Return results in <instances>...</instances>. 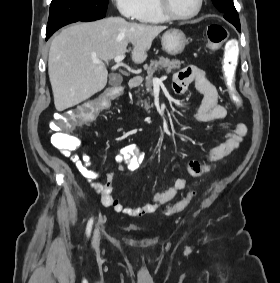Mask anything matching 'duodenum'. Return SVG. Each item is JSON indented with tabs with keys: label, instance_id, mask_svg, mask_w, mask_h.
I'll use <instances>...</instances> for the list:
<instances>
[{
	"label": "duodenum",
	"instance_id": "duodenum-1",
	"mask_svg": "<svg viewBox=\"0 0 280 283\" xmlns=\"http://www.w3.org/2000/svg\"><path fill=\"white\" fill-rule=\"evenodd\" d=\"M142 84V78L140 76H133L129 81V87L135 89Z\"/></svg>",
	"mask_w": 280,
	"mask_h": 283
}]
</instances>
